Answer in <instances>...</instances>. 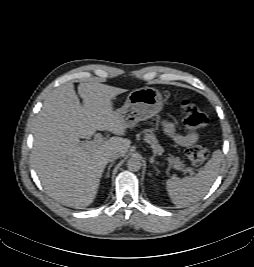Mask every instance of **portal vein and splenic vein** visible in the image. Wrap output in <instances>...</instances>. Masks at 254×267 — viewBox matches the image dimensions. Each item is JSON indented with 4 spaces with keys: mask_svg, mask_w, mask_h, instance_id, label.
I'll use <instances>...</instances> for the list:
<instances>
[{
    "mask_svg": "<svg viewBox=\"0 0 254 267\" xmlns=\"http://www.w3.org/2000/svg\"><path fill=\"white\" fill-rule=\"evenodd\" d=\"M104 142V138L103 136L100 134V133H97L95 136H94V140L92 141H85L83 143L84 146L86 147H95V146H98L100 144H102ZM167 161L170 163V165H172V167L176 170H182L179 165H177L175 163V161H173L171 158H167ZM183 171H189V170H183Z\"/></svg>",
    "mask_w": 254,
    "mask_h": 267,
    "instance_id": "1",
    "label": "portal vein and splenic vein"
}]
</instances>
